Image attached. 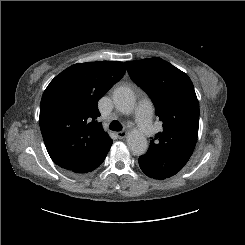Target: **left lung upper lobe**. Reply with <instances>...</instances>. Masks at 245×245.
<instances>
[{
	"instance_id": "left-lung-upper-lobe-1",
	"label": "left lung upper lobe",
	"mask_w": 245,
	"mask_h": 245,
	"mask_svg": "<svg viewBox=\"0 0 245 245\" xmlns=\"http://www.w3.org/2000/svg\"><path fill=\"white\" fill-rule=\"evenodd\" d=\"M133 81L147 92L163 123L149 150L167 155L182 166L195 148L199 103L188 75L161 58L125 62Z\"/></svg>"
}]
</instances>
